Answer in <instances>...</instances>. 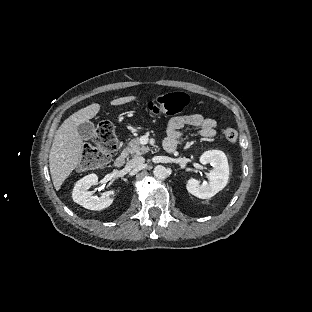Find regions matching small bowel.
<instances>
[{
	"mask_svg": "<svg viewBox=\"0 0 312 312\" xmlns=\"http://www.w3.org/2000/svg\"><path fill=\"white\" fill-rule=\"evenodd\" d=\"M185 127H197L203 137L212 138L216 134L217 122L213 118L198 113L174 116L168 121L164 143H172L177 146L182 135L181 131Z\"/></svg>",
	"mask_w": 312,
	"mask_h": 312,
	"instance_id": "1",
	"label": "small bowel"
}]
</instances>
